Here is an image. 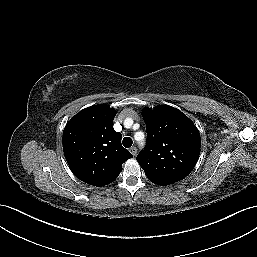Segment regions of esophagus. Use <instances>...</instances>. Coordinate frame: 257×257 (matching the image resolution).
I'll use <instances>...</instances> for the list:
<instances>
[{
  "instance_id": "obj_1",
  "label": "esophagus",
  "mask_w": 257,
  "mask_h": 257,
  "mask_svg": "<svg viewBox=\"0 0 257 257\" xmlns=\"http://www.w3.org/2000/svg\"><path fill=\"white\" fill-rule=\"evenodd\" d=\"M130 153L133 155V156H136V154H137V148L136 147H131L130 148Z\"/></svg>"
}]
</instances>
